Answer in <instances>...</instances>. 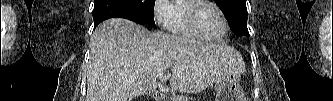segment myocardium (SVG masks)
Segmentation results:
<instances>
[{"label": "myocardium", "instance_id": "f54148a6", "mask_svg": "<svg viewBox=\"0 0 333 101\" xmlns=\"http://www.w3.org/2000/svg\"><path fill=\"white\" fill-rule=\"evenodd\" d=\"M208 5L214 8L218 14L220 15L223 24H224V31L223 33L218 37H209L202 33L200 30L198 23H197V11L198 9L203 6ZM185 18L186 23L189 27V29L199 38L208 40V41H220L228 34L229 31V24L228 20L224 14V12L214 3L211 1H205V0H196V1H189L185 8Z\"/></svg>", "mask_w": 333, "mask_h": 101}]
</instances>
